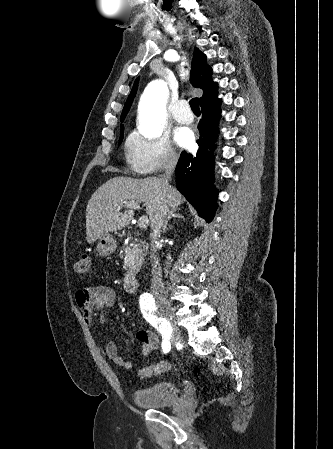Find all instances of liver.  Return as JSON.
Returning <instances> with one entry per match:
<instances>
[{
  "mask_svg": "<svg viewBox=\"0 0 333 449\" xmlns=\"http://www.w3.org/2000/svg\"><path fill=\"white\" fill-rule=\"evenodd\" d=\"M163 196L162 180L158 178L131 179L114 177L100 186L90 198L86 208V239L94 243L109 232L117 231L130 223L134 212L121 213L120 206L127 202L143 203L151 226ZM168 206L177 209L184 201L182 195L170 187Z\"/></svg>",
  "mask_w": 333,
  "mask_h": 449,
  "instance_id": "1",
  "label": "liver"
}]
</instances>
